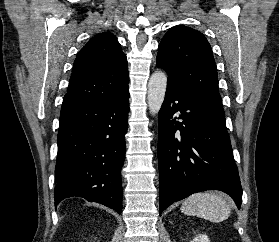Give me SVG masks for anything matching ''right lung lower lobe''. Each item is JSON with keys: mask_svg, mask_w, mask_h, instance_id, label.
Segmentation results:
<instances>
[{"mask_svg": "<svg viewBox=\"0 0 279 242\" xmlns=\"http://www.w3.org/2000/svg\"><path fill=\"white\" fill-rule=\"evenodd\" d=\"M129 91L61 109L55 168V207L82 197L122 211Z\"/></svg>", "mask_w": 279, "mask_h": 242, "instance_id": "obj_1", "label": "right lung lower lobe"}]
</instances>
